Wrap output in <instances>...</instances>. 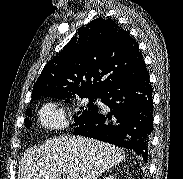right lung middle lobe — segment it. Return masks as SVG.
Instances as JSON below:
<instances>
[{
	"mask_svg": "<svg viewBox=\"0 0 183 179\" xmlns=\"http://www.w3.org/2000/svg\"><path fill=\"white\" fill-rule=\"evenodd\" d=\"M81 98H88L89 103L87 104V107H80V111H78V116H73L75 123L73 126H80L84 124L87 120H89L93 115H95L98 111V107L94 105L95 99L99 96L98 94H82L78 95ZM71 96H56V98L65 99V102H69V98ZM26 115H31V109H27ZM32 125V122L29 121L27 118L25 119V126L30 127Z\"/></svg>",
	"mask_w": 183,
	"mask_h": 179,
	"instance_id": "right-lung-middle-lobe-1",
	"label": "right lung middle lobe"
}]
</instances>
